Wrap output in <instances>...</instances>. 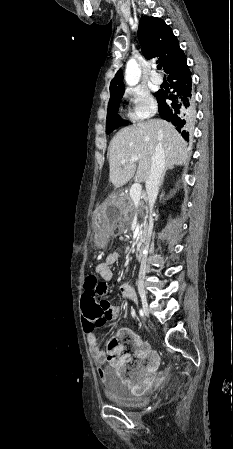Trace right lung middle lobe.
I'll use <instances>...</instances> for the list:
<instances>
[{"mask_svg": "<svg viewBox=\"0 0 233 449\" xmlns=\"http://www.w3.org/2000/svg\"><path fill=\"white\" fill-rule=\"evenodd\" d=\"M123 93L110 97L108 110H107V123H106V133L109 134L117 127L126 125L128 121L122 120L119 115H117L119 104ZM158 93L156 94V97Z\"/></svg>", "mask_w": 233, "mask_h": 449, "instance_id": "obj_1", "label": "right lung middle lobe"}]
</instances>
